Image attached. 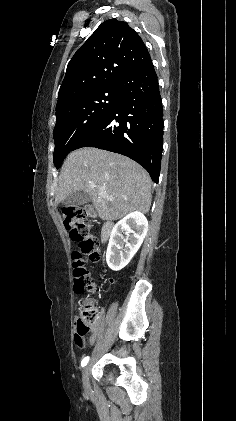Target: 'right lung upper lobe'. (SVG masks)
Wrapping results in <instances>:
<instances>
[{
  "label": "right lung upper lobe",
  "instance_id": "obj_1",
  "mask_svg": "<svg viewBox=\"0 0 236 421\" xmlns=\"http://www.w3.org/2000/svg\"><path fill=\"white\" fill-rule=\"evenodd\" d=\"M150 59L141 37L126 22H103L70 60L56 108L76 96L117 87L123 76Z\"/></svg>",
  "mask_w": 236,
  "mask_h": 421
}]
</instances>
